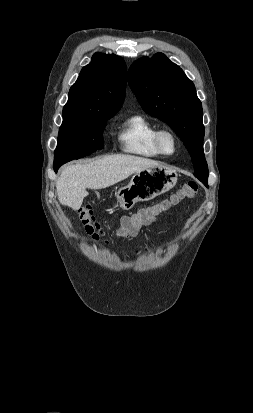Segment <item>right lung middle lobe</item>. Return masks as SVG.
<instances>
[{"label": "right lung middle lobe", "instance_id": "dd1d6c3e", "mask_svg": "<svg viewBox=\"0 0 253 413\" xmlns=\"http://www.w3.org/2000/svg\"><path fill=\"white\" fill-rule=\"evenodd\" d=\"M116 113L99 114L91 118L63 120L59 130L54 165H62L103 149L106 121Z\"/></svg>", "mask_w": 253, "mask_h": 413}]
</instances>
